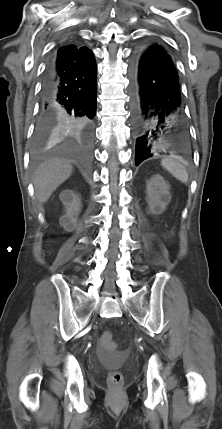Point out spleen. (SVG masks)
I'll return each mask as SVG.
<instances>
[{
	"label": "spleen",
	"mask_w": 222,
	"mask_h": 429,
	"mask_svg": "<svg viewBox=\"0 0 222 429\" xmlns=\"http://www.w3.org/2000/svg\"><path fill=\"white\" fill-rule=\"evenodd\" d=\"M161 165L164 169H166L168 172H170L175 178H177L179 181L187 184L188 182V172L186 168L179 162L164 158L161 161Z\"/></svg>",
	"instance_id": "3e777b00"
}]
</instances>
